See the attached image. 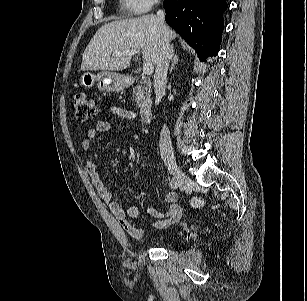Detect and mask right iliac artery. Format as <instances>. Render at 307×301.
Here are the masks:
<instances>
[{
	"mask_svg": "<svg viewBox=\"0 0 307 301\" xmlns=\"http://www.w3.org/2000/svg\"><path fill=\"white\" fill-rule=\"evenodd\" d=\"M169 186L171 187V188H178V186H179V183L177 182V181H175V180H171L170 181V183H169Z\"/></svg>",
	"mask_w": 307,
	"mask_h": 301,
	"instance_id": "82829eb1",
	"label": "right iliac artery"
}]
</instances>
